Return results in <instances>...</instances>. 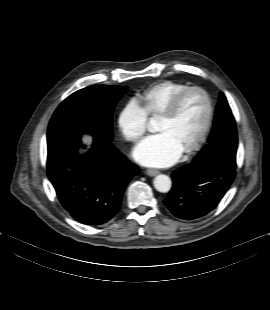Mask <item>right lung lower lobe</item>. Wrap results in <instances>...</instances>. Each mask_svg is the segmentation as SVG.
Returning a JSON list of instances; mask_svg holds the SVG:
<instances>
[{
    "label": "right lung lower lobe",
    "instance_id": "obj_1",
    "mask_svg": "<svg viewBox=\"0 0 270 310\" xmlns=\"http://www.w3.org/2000/svg\"><path fill=\"white\" fill-rule=\"evenodd\" d=\"M47 173L62 206L78 222L100 225L114 217L124 190L139 169L113 144L94 138L78 157L80 137L47 138Z\"/></svg>",
    "mask_w": 270,
    "mask_h": 310
}]
</instances>
